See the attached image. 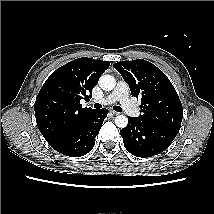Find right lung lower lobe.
I'll return each mask as SVG.
<instances>
[{"mask_svg": "<svg viewBox=\"0 0 214 214\" xmlns=\"http://www.w3.org/2000/svg\"><path fill=\"white\" fill-rule=\"evenodd\" d=\"M107 113L108 110L105 108L90 113L51 143V147L66 156L86 155L93 149L95 137L98 135Z\"/></svg>", "mask_w": 214, "mask_h": 214, "instance_id": "obj_1", "label": "right lung lower lobe"}]
</instances>
